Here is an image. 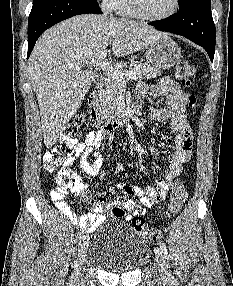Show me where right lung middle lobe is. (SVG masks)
Here are the masks:
<instances>
[{
	"instance_id": "1",
	"label": "right lung middle lobe",
	"mask_w": 233,
	"mask_h": 286,
	"mask_svg": "<svg viewBox=\"0 0 233 286\" xmlns=\"http://www.w3.org/2000/svg\"><path fill=\"white\" fill-rule=\"evenodd\" d=\"M42 1H44V0H34L33 5H37V4H39L40 2H42ZM88 1L93 2V3H95V4L98 5L97 0H88Z\"/></svg>"
}]
</instances>
